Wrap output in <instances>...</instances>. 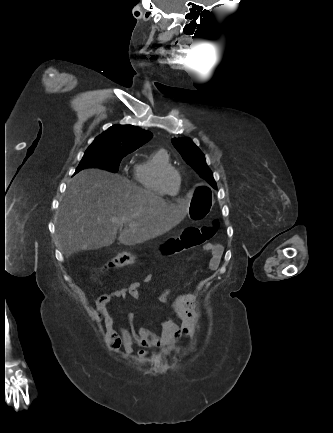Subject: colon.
<instances>
[{"mask_svg":"<svg viewBox=\"0 0 333 433\" xmlns=\"http://www.w3.org/2000/svg\"><path fill=\"white\" fill-rule=\"evenodd\" d=\"M218 226L219 222L214 220L211 224L201 227H188L182 232L181 236H163L161 241L158 243L159 250L161 253H168V255H171V253H176L180 250L200 246L213 238ZM125 255L126 257H112L111 261L101 268V271L109 272L123 266L127 269L132 268V258L136 255L135 250L127 249Z\"/></svg>","mask_w":333,"mask_h":433,"instance_id":"colon-1","label":"colon"}]
</instances>
